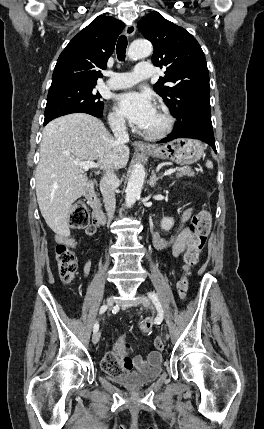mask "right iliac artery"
Wrapping results in <instances>:
<instances>
[{"label":"right iliac artery","mask_w":264,"mask_h":429,"mask_svg":"<svg viewBox=\"0 0 264 429\" xmlns=\"http://www.w3.org/2000/svg\"><path fill=\"white\" fill-rule=\"evenodd\" d=\"M106 310H107V306H106V305H103V306L100 308L99 314L104 313ZM98 329H99V324H98V322H96V323L94 324L93 331H94V332H97V331H98Z\"/></svg>","instance_id":"obj_1"}]
</instances>
